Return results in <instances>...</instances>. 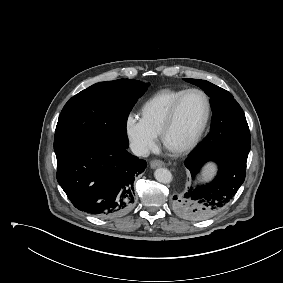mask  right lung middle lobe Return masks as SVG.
<instances>
[{
    "instance_id": "1",
    "label": "right lung middle lobe",
    "mask_w": 283,
    "mask_h": 283,
    "mask_svg": "<svg viewBox=\"0 0 283 283\" xmlns=\"http://www.w3.org/2000/svg\"><path fill=\"white\" fill-rule=\"evenodd\" d=\"M149 83L119 79L96 83L69 99L54 138L56 155L88 140L105 139L128 148V115Z\"/></svg>"
}]
</instances>
